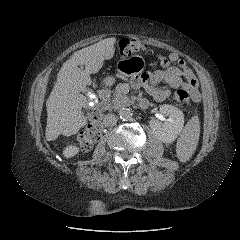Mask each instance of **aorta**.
Listing matches in <instances>:
<instances>
[{"mask_svg": "<svg viewBox=\"0 0 240 240\" xmlns=\"http://www.w3.org/2000/svg\"><path fill=\"white\" fill-rule=\"evenodd\" d=\"M119 117L122 120H130L132 118V112L129 108H121L119 110Z\"/></svg>", "mask_w": 240, "mask_h": 240, "instance_id": "obj_1", "label": "aorta"}]
</instances>
